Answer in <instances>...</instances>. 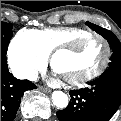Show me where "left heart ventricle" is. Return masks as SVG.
Returning a JSON list of instances; mask_svg holds the SVG:
<instances>
[{
    "instance_id": "1",
    "label": "left heart ventricle",
    "mask_w": 121,
    "mask_h": 121,
    "mask_svg": "<svg viewBox=\"0 0 121 121\" xmlns=\"http://www.w3.org/2000/svg\"><path fill=\"white\" fill-rule=\"evenodd\" d=\"M104 45L90 39L74 54L60 53L54 61L55 71L63 77L82 75L95 70L104 59Z\"/></svg>"
}]
</instances>
